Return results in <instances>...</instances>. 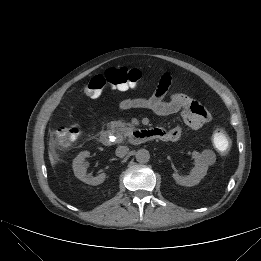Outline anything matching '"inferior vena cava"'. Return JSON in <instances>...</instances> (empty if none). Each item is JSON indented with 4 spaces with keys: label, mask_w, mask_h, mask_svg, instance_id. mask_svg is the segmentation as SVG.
Wrapping results in <instances>:
<instances>
[{
    "label": "inferior vena cava",
    "mask_w": 261,
    "mask_h": 261,
    "mask_svg": "<svg viewBox=\"0 0 261 261\" xmlns=\"http://www.w3.org/2000/svg\"><path fill=\"white\" fill-rule=\"evenodd\" d=\"M129 152V148L126 146H119L116 148L115 154L116 156L123 158L124 156H126Z\"/></svg>",
    "instance_id": "602c4592"
}]
</instances>
